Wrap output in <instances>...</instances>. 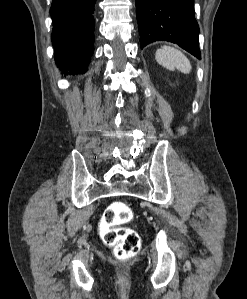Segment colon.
Instances as JSON below:
<instances>
[{
  "label": "colon",
  "instance_id": "5ec220e1",
  "mask_svg": "<svg viewBox=\"0 0 247 299\" xmlns=\"http://www.w3.org/2000/svg\"><path fill=\"white\" fill-rule=\"evenodd\" d=\"M132 219L133 212L126 203L114 202L105 210L101 222L105 243L112 246L115 256L122 260L136 256L140 250L138 233L125 226Z\"/></svg>",
  "mask_w": 247,
  "mask_h": 299
}]
</instances>
